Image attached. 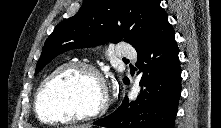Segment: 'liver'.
Masks as SVG:
<instances>
[{"label":"liver","mask_w":221,"mask_h":128,"mask_svg":"<svg viewBox=\"0 0 221 128\" xmlns=\"http://www.w3.org/2000/svg\"><path fill=\"white\" fill-rule=\"evenodd\" d=\"M69 128H91V125L87 124V125H74V126H70Z\"/></svg>","instance_id":"liver-1"}]
</instances>
